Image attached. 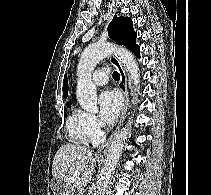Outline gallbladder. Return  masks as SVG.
<instances>
[{
  "label": "gallbladder",
  "mask_w": 211,
  "mask_h": 195,
  "mask_svg": "<svg viewBox=\"0 0 211 195\" xmlns=\"http://www.w3.org/2000/svg\"><path fill=\"white\" fill-rule=\"evenodd\" d=\"M53 190L58 191V189L56 188V183L54 182L52 185Z\"/></svg>",
  "instance_id": "gallbladder-1"
}]
</instances>
